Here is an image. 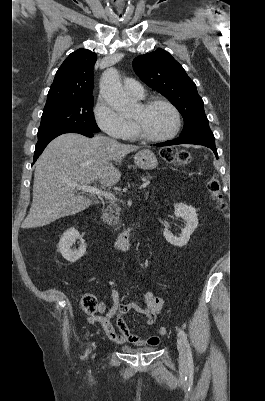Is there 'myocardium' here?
<instances>
[{
	"mask_svg": "<svg viewBox=\"0 0 265 401\" xmlns=\"http://www.w3.org/2000/svg\"><path fill=\"white\" fill-rule=\"evenodd\" d=\"M158 104L168 107L174 113L175 120H176V126L172 132H170L166 135L149 136L141 131L139 125L136 122H133V126H134L136 134L143 140L151 141V142L165 141V140L171 139L174 136H176L181 129V126H182L181 114H180L178 108L171 102H169L165 99H150V100L142 102L141 106L143 109H149L150 107L158 105Z\"/></svg>",
	"mask_w": 265,
	"mask_h": 401,
	"instance_id": "obj_1",
	"label": "myocardium"
}]
</instances>
